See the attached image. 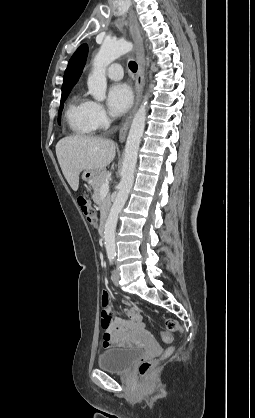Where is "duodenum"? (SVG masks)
I'll list each match as a JSON object with an SVG mask.
<instances>
[{
	"mask_svg": "<svg viewBox=\"0 0 255 418\" xmlns=\"http://www.w3.org/2000/svg\"><path fill=\"white\" fill-rule=\"evenodd\" d=\"M106 225H107V213H104L100 219L98 225V234L100 237H104L106 233Z\"/></svg>",
	"mask_w": 255,
	"mask_h": 418,
	"instance_id": "duodenum-1",
	"label": "duodenum"
}]
</instances>
